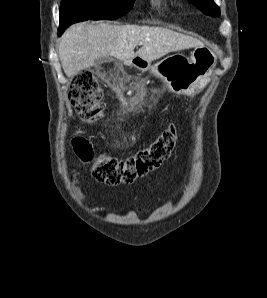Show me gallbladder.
Returning a JSON list of instances; mask_svg holds the SVG:
<instances>
[{"label": "gallbladder", "instance_id": "gallbladder-1", "mask_svg": "<svg viewBox=\"0 0 267 298\" xmlns=\"http://www.w3.org/2000/svg\"><path fill=\"white\" fill-rule=\"evenodd\" d=\"M108 60H111V58H109V57L108 58H101V59L97 60L96 64H100V63L108 61Z\"/></svg>", "mask_w": 267, "mask_h": 298}]
</instances>
